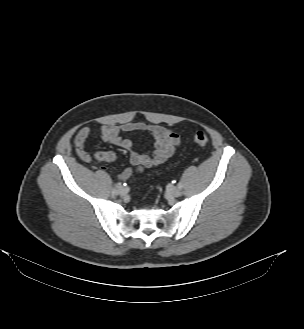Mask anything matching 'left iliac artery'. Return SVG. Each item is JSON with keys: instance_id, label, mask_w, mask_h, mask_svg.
<instances>
[{"instance_id": "44dca946", "label": "left iliac artery", "mask_w": 304, "mask_h": 329, "mask_svg": "<svg viewBox=\"0 0 304 329\" xmlns=\"http://www.w3.org/2000/svg\"><path fill=\"white\" fill-rule=\"evenodd\" d=\"M177 186H178L179 189H182V183L181 182H178Z\"/></svg>"}]
</instances>
